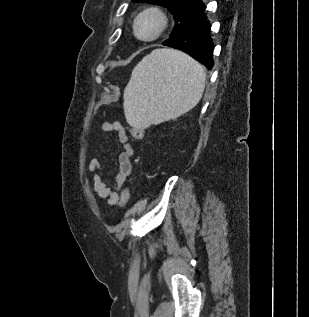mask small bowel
<instances>
[{
    "label": "small bowel",
    "mask_w": 309,
    "mask_h": 317,
    "mask_svg": "<svg viewBox=\"0 0 309 317\" xmlns=\"http://www.w3.org/2000/svg\"><path fill=\"white\" fill-rule=\"evenodd\" d=\"M105 132L115 133L121 152L118 157L119 170L115 177L116 187L111 188L100 172L103 170V164L97 158L91 159L88 165V171L93 175L92 188L99 198L106 199L108 205H116L120 202L121 190L132 171L131 156L133 149L129 143L125 127L117 121H106L102 125Z\"/></svg>",
    "instance_id": "c3829d8e"
}]
</instances>
